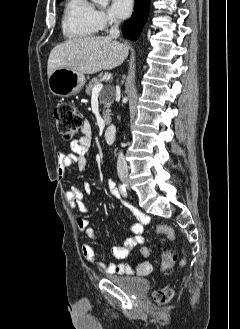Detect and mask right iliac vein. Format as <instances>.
Returning a JSON list of instances; mask_svg holds the SVG:
<instances>
[{
	"instance_id": "63e3f726",
	"label": "right iliac vein",
	"mask_w": 240,
	"mask_h": 329,
	"mask_svg": "<svg viewBox=\"0 0 240 329\" xmlns=\"http://www.w3.org/2000/svg\"><path fill=\"white\" fill-rule=\"evenodd\" d=\"M120 179L126 187H129L130 183L126 176H121Z\"/></svg>"
}]
</instances>
